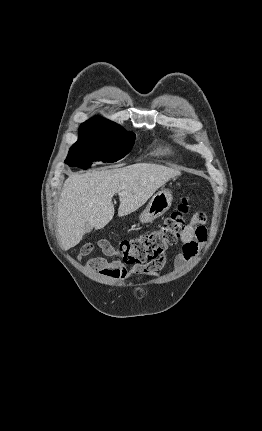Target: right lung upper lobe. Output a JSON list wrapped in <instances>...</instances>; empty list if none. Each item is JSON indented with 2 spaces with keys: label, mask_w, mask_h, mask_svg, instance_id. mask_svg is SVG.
I'll return each instance as SVG.
<instances>
[{
  "label": "right lung upper lobe",
  "mask_w": 262,
  "mask_h": 431,
  "mask_svg": "<svg viewBox=\"0 0 262 431\" xmlns=\"http://www.w3.org/2000/svg\"><path fill=\"white\" fill-rule=\"evenodd\" d=\"M112 123L109 120L100 118V117H95V118H91L87 121H85L84 123L81 124V126H85V125H103V124H109Z\"/></svg>",
  "instance_id": "cb5924a9"
}]
</instances>
